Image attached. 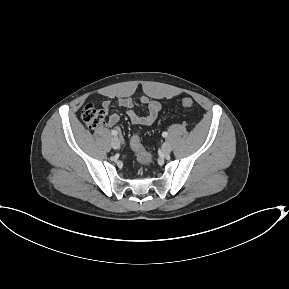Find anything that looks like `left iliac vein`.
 <instances>
[{
    "label": "left iliac vein",
    "mask_w": 289,
    "mask_h": 289,
    "mask_svg": "<svg viewBox=\"0 0 289 289\" xmlns=\"http://www.w3.org/2000/svg\"><path fill=\"white\" fill-rule=\"evenodd\" d=\"M172 150V147L171 145L168 143V142H165L163 145H162V151L165 153V154H169Z\"/></svg>",
    "instance_id": "1"
}]
</instances>
